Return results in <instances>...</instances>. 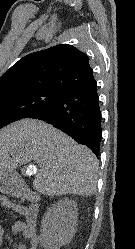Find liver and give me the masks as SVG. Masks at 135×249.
Returning a JSON list of instances; mask_svg holds the SVG:
<instances>
[{"mask_svg": "<svg viewBox=\"0 0 135 249\" xmlns=\"http://www.w3.org/2000/svg\"><path fill=\"white\" fill-rule=\"evenodd\" d=\"M34 160L36 191L46 196L93 195L97 190L98 160L84 145L52 125L22 119L0 130V169L14 171Z\"/></svg>", "mask_w": 135, "mask_h": 249, "instance_id": "6515ba94", "label": "liver"}]
</instances>
